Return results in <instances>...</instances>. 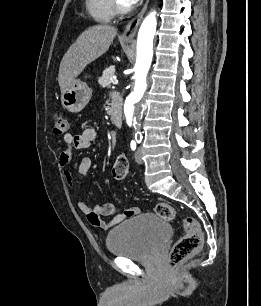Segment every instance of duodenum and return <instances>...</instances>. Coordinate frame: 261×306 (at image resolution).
Instances as JSON below:
<instances>
[{"mask_svg": "<svg viewBox=\"0 0 261 306\" xmlns=\"http://www.w3.org/2000/svg\"><path fill=\"white\" fill-rule=\"evenodd\" d=\"M110 118L116 126L122 125V104L119 98H115L110 108Z\"/></svg>", "mask_w": 261, "mask_h": 306, "instance_id": "obj_1", "label": "duodenum"}]
</instances>
